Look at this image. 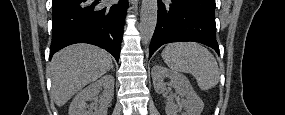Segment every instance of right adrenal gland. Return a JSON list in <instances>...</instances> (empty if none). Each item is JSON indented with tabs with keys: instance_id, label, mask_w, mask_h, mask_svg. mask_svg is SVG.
<instances>
[{
	"instance_id": "1",
	"label": "right adrenal gland",
	"mask_w": 285,
	"mask_h": 115,
	"mask_svg": "<svg viewBox=\"0 0 285 115\" xmlns=\"http://www.w3.org/2000/svg\"><path fill=\"white\" fill-rule=\"evenodd\" d=\"M111 70H112V72H114V67H113V65L111 66Z\"/></svg>"
}]
</instances>
